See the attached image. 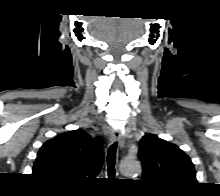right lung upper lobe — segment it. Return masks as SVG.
<instances>
[{
  "mask_svg": "<svg viewBox=\"0 0 220 196\" xmlns=\"http://www.w3.org/2000/svg\"><path fill=\"white\" fill-rule=\"evenodd\" d=\"M97 144L81 129L60 134L43 144L32 174L52 185L76 187L80 181L98 175L102 163V139Z\"/></svg>",
  "mask_w": 220,
  "mask_h": 196,
  "instance_id": "1",
  "label": "right lung upper lobe"
}]
</instances>
